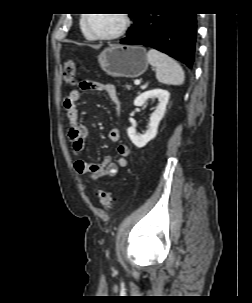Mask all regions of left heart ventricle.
I'll return each mask as SVG.
<instances>
[{
    "instance_id": "left-heart-ventricle-1",
    "label": "left heart ventricle",
    "mask_w": 252,
    "mask_h": 303,
    "mask_svg": "<svg viewBox=\"0 0 252 303\" xmlns=\"http://www.w3.org/2000/svg\"><path fill=\"white\" fill-rule=\"evenodd\" d=\"M119 14H91L87 21V29L93 34H108L121 26Z\"/></svg>"
}]
</instances>
